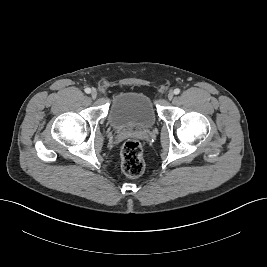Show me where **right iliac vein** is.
Here are the masks:
<instances>
[{
	"label": "right iliac vein",
	"mask_w": 267,
	"mask_h": 267,
	"mask_svg": "<svg viewBox=\"0 0 267 267\" xmlns=\"http://www.w3.org/2000/svg\"><path fill=\"white\" fill-rule=\"evenodd\" d=\"M91 96H92V98H96L97 97V91L95 90V89H93L92 91H91Z\"/></svg>",
	"instance_id": "right-iliac-vein-1"
}]
</instances>
